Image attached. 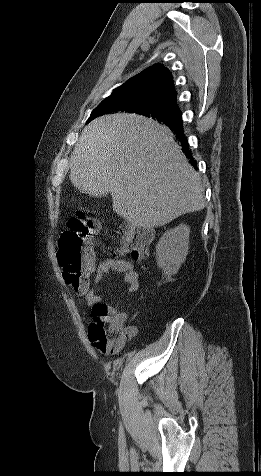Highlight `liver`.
Returning <instances> with one entry per match:
<instances>
[{
	"instance_id": "6515ba94",
	"label": "liver",
	"mask_w": 261,
	"mask_h": 476,
	"mask_svg": "<svg viewBox=\"0 0 261 476\" xmlns=\"http://www.w3.org/2000/svg\"><path fill=\"white\" fill-rule=\"evenodd\" d=\"M69 178L82 193H110L113 210L137 227L163 226L205 207L201 177L171 131L136 114L104 115L88 124L74 147Z\"/></svg>"
}]
</instances>
